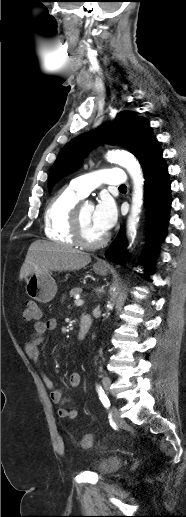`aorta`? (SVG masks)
Returning a JSON list of instances; mask_svg holds the SVG:
<instances>
[{
  "label": "aorta",
  "mask_w": 186,
  "mask_h": 517,
  "mask_svg": "<svg viewBox=\"0 0 186 517\" xmlns=\"http://www.w3.org/2000/svg\"><path fill=\"white\" fill-rule=\"evenodd\" d=\"M107 159L111 162L118 163L123 166L133 181V194L131 202L130 215L127 220V238L131 240V244L136 236L139 217L143 204L144 195V177L139 162L136 158L126 151H110ZM130 244V245H131ZM110 305H108L109 307Z\"/></svg>",
  "instance_id": "1"
}]
</instances>
